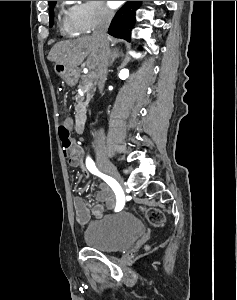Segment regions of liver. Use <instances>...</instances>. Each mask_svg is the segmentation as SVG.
<instances>
[{"label": "liver", "instance_id": "liver-1", "mask_svg": "<svg viewBox=\"0 0 237 300\" xmlns=\"http://www.w3.org/2000/svg\"><path fill=\"white\" fill-rule=\"evenodd\" d=\"M100 51L98 39H95V37H80V39H74V41H60V43H56L47 59L48 61H54V63L66 65L69 69H77L78 65H81L87 57V67L95 69V67L100 65ZM108 59H110V55Z\"/></svg>", "mask_w": 237, "mask_h": 300}]
</instances>
